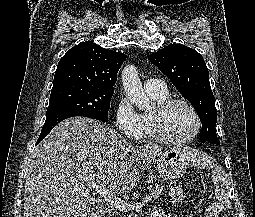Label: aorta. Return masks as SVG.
Listing matches in <instances>:
<instances>
[{
	"label": "aorta",
	"mask_w": 255,
	"mask_h": 217,
	"mask_svg": "<svg viewBox=\"0 0 255 217\" xmlns=\"http://www.w3.org/2000/svg\"><path fill=\"white\" fill-rule=\"evenodd\" d=\"M121 78L125 96L140 110L151 109L152 104L144 93L137 68L134 65L125 66Z\"/></svg>",
	"instance_id": "aorta-1"
}]
</instances>
